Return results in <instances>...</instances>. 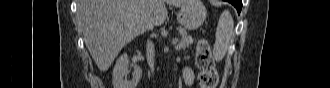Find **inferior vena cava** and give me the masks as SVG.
<instances>
[{
  "label": "inferior vena cava",
  "instance_id": "inferior-vena-cava-1",
  "mask_svg": "<svg viewBox=\"0 0 330 88\" xmlns=\"http://www.w3.org/2000/svg\"><path fill=\"white\" fill-rule=\"evenodd\" d=\"M146 52L148 65L150 66L151 72H154V44L152 41H147Z\"/></svg>",
  "mask_w": 330,
  "mask_h": 88
}]
</instances>
